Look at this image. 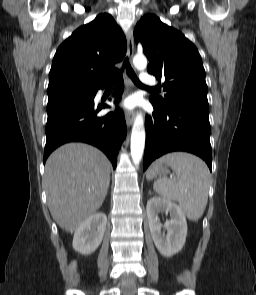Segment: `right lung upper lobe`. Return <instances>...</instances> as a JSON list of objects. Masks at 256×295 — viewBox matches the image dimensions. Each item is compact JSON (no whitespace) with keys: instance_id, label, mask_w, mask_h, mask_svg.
Returning a JSON list of instances; mask_svg holds the SVG:
<instances>
[{"instance_id":"obj_1","label":"right lung upper lobe","mask_w":256,"mask_h":295,"mask_svg":"<svg viewBox=\"0 0 256 295\" xmlns=\"http://www.w3.org/2000/svg\"><path fill=\"white\" fill-rule=\"evenodd\" d=\"M127 50L121 28L109 14L75 30L57 49L49 73L48 98L89 91L118 76L115 63Z\"/></svg>"}]
</instances>
